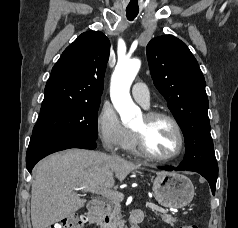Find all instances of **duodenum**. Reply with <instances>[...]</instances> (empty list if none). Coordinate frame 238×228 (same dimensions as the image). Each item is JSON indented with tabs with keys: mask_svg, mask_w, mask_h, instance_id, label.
<instances>
[{
	"mask_svg": "<svg viewBox=\"0 0 238 228\" xmlns=\"http://www.w3.org/2000/svg\"><path fill=\"white\" fill-rule=\"evenodd\" d=\"M103 207L104 203L102 200L95 199L90 201L88 204L87 217L90 223L95 224L97 228H104L103 224ZM144 218V214L141 210L137 209L131 212L127 219L125 228H138V223H140Z\"/></svg>",
	"mask_w": 238,
	"mask_h": 228,
	"instance_id": "410a0bca",
	"label": "duodenum"
}]
</instances>
